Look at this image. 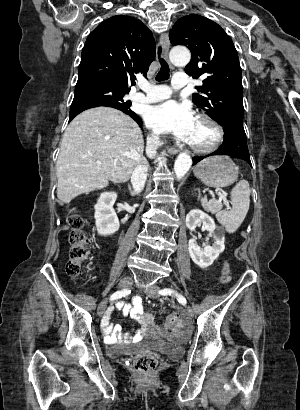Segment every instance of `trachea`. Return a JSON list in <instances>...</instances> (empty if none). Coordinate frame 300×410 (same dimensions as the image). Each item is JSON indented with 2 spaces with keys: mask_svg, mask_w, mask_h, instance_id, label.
Wrapping results in <instances>:
<instances>
[{
  "mask_svg": "<svg viewBox=\"0 0 300 410\" xmlns=\"http://www.w3.org/2000/svg\"><path fill=\"white\" fill-rule=\"evenodd\" d=\"M161 50H162L161 47H159L158 48V55H159V62H160L161 67H160V70H159V72L156 76L157 81L168 80L169 79V72H170L167 62L163 58L160 57Z\"/></svg>",
  "mask_w": 300,
  "mask_h": 410,
  "instance_id": "trachea-1",
  "label": "trachea"
}]
</instances>
